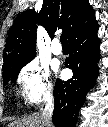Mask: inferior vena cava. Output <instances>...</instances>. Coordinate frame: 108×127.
Listing matches in <instances>:
<instances>
[{
	"label": "inferior vena cava",
	"mask_w": 108,
	"mask_h": 127,
	"mask_svg": "<svg viewBox=\"0 0 108 127\" xmlns=\"http://www.w3.org/2000/svg\"><path fill=\"white\" fill-rule=\"evenodd\" d=\"M45 106L41 108V114L45 120L46 127H53L52 115L54 110V98L51 93H47L44 97Z\"/></svg>",
	"instance_id": "obj_1"
}]
</instances>
